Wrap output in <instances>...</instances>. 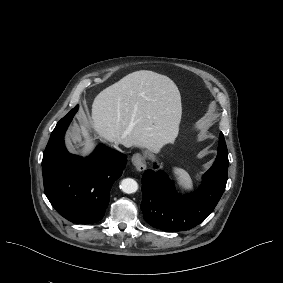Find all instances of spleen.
<instances>
[{"mask_svg":"<svg viewBox=\"0 0 283 283\" xmlns=\"http://www.w3.org/2000/svg\"><path fill=\"white\" fill-rule=\"evenodd\" d=\"M171 175L175 181L176 187L181 193L187 194L194 191V175L192 171L189 174V172L181 166L173 165L171 167Z\"/></svg>","mask_w":283,"mask_h":283,"instance_id":"3e777b00","label":"spleen"}]
</instances>
